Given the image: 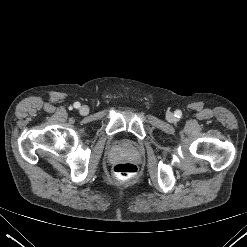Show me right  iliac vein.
Instances as JSON below:
<instances>
[{
	"mask_svg": "<svg viewBox=\"0 0 247 247\" xmlns=\"http://www.w3.org/2000/svg\"><path fill=\"white\" fill-rule=\"evenodd\" d=\"M79 111L81 115H87L89 113V108L87 106H82Z\"/></svg>",
	"mask_w": 247,
	"mask_h": 247,
	"instance_id": "right-iliac-vein-1",
	"label": "right iliac vein"
}]
</instances>
